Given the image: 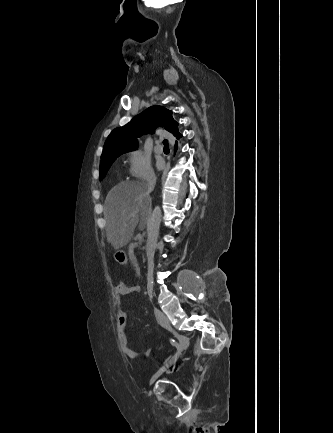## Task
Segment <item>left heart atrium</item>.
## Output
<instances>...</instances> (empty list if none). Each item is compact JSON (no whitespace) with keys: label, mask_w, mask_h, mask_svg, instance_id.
<instances>
[{"label":"left heart atrium","mask_w":333,"mask_h":433,"mask_svg":"<svg viewBox=\"0 0 333 433\" xmlns=\"http://www.w3.org/2000/svg\"><path fill=\"white\" fill-rule=\"evenodd\" d=\"M157 166L159 167V168H161L162 167V162H157Z\"/></svg>","instance_id":"1"}]
</instances>
